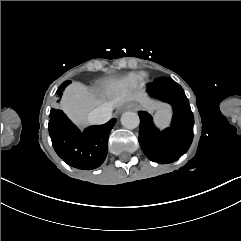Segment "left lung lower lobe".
<instances>
[{"label":"left lung lower lobe","mask_w":241,"mask_h":241,"mask_svg":"<svg viewBox=\"0 0 241 241\" xmlns=\"http://www.w3.org/2000/svg\"><path fill=\"white\" fill-rule=\"evenodd\" d=\"M152 97L172 105L174 115L171 127L159 131L147 112H139V144L153 162L171 163L189 148L193 138V113L183 88L171 78H158L147 84Z\"/></svg>","instance_id":"left-lung-lower-lobe-1"}]
</instances>
